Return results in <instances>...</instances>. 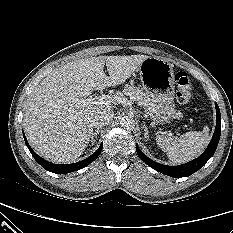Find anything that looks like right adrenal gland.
Returning <instances> with one entry per match:
<instances>
[{
	"label": "right adrenal gland",
	"mask_w": 233,
	"mask_h": 233,
	"mask_svg": "<svg viewBox=\"0 0 233 233\" xmlns=\"http://www.w3.org/2000/svg\"><path fill=\"white\" fill-rule=\"evenodd\" d=\"M100 132V128H97L92 134H91V144L93 145L96 141L97 135Z\"/></svg>",
	"instance_id": "2a0ac1e0"
}]
</instances>
